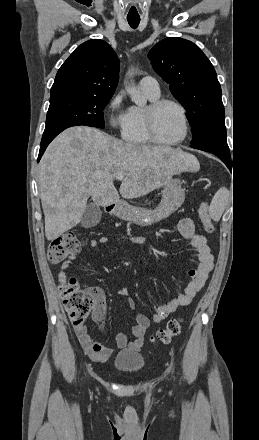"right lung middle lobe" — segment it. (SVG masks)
<instances>
[{
	"label": "right lung middle lobe",
	"mask_w": 259,
	"mask_h": 440,
	"mask_svg": "<svg viewBox=\"0 0 259 440\" xmlns=\"http://www.w3.org/2000/svg\"><path fill=\"white\" fill-rule=\"evenodd\" d=\"M112 96L82 92L51 95L44 133L67 125L104 128L103 110Z\"/></svg>",
	"instance_id": "1"
}]
</instances>
